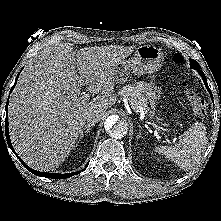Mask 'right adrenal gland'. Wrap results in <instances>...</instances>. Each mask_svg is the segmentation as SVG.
Returning <instances> with one entry per match:
<instances>
[{"instance_id": "2a0ac1e0", "label": "right adrenal gland", "mask_w": 221, "mask_h": 221, "mask_svg": "<svg viewBox=\"0 0 221 221\" xmlns=\"http://www.w3.org/2000/svg\"><path fill=\"white\" fill-rule=\"evenodd\" d=\"M94 124H86L85 127L83 128V130L81 131L80 134V139H82L84 137V133H90L91 127H93Z\"/></svg>"}]
</instances>
